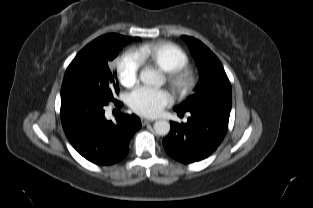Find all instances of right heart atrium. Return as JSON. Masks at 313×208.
Listing matches in <instances>:
<instances>
[{"instance_id":"obj_1","label":"right heart atrium","mask_w":313,"mask_h":208,"mask_svg":"<svg viewBox=\"0 0 313 208\" xmlns=\"http://www.w3.org/2000/svg\"><path fill=\"white\" fill-rule=\"evenodd\" d=\"M142 61L134 51H128L121 56L116 65L117 76L125 87H132L138 81Z\"/></svg>"}]
</instances>
